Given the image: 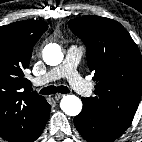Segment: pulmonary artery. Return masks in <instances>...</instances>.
I'll list each match as a JSON object with an SVG mask.
<instances>
[{"mask_svg": "<svg viewBox=\"0 0 142 142\" xmlns=\"http://www.w3.org/2000/svg\"><path fill=\"white\" fill-rule=\"evenodd\" d=\"M84 53L82 46L72 45L66 53L64 61L50 69L42 77L36 78L34 82L37 85H43L60 78H66L71 87L82 96L88 97L92 94V88L77 72V65Z\"/></svg>", "mask_w": 142, "mask_h": 142, "instance_id": "pulmonary-artery-1", "label": "pulmonary artery"}]
</instances>
